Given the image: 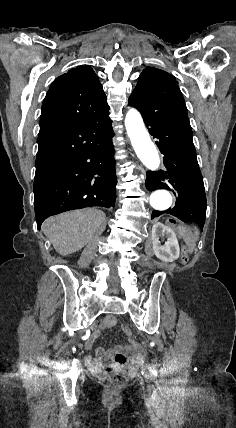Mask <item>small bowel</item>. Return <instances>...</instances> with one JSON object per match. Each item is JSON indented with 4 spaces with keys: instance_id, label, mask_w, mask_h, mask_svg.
I'll list each match as a JSON object with an SVG mask.
<instances>
[{
    "instance_id": "obj_1",
    "label": "small bowel",
    "mask_w": 236,
    "mask_h": 428,
    "mask_svg": "<svg viewBox=\"0 0 236 428\" xmlns=\"http://www.w3.org/2000/svg\"><path fill=\"white\" fill-rule=\"evenodd\" d=\"M117 323L116 318L108 316L103 321L100 328L94 331L86 341V348H91L95 339L99 336L102 329L114 327ZM145 360V351L140 344L133 342L128 347L117 346L114 350L97 349L94 358L88 359L87 364L94 371H101L104 368V362L108 361L111 368H134Z\"/></svg>"
}]
</instances>
